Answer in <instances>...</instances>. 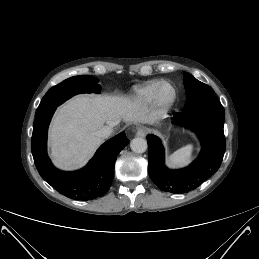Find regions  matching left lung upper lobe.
Instances as JSON below:
<instances>
[{
  "mask_svg": "<svg viewBox=\"0 0 259 259\" xmlns=\"http://www.w3.org/2000/svg\"><path fill=\"white\" fill-rule=\"evenodd\" d=\"M184 86L187 92V101L183 111L221 104L216 99L213 89L194 78L191 74L185 73Z\"/></svg>",
  "mask_w": 259,
  "mask_h": 259,
  "instance_id": "left-lung-upper-lobe-1",
  "label": "left lung upper lobe"
}]
</instances>
